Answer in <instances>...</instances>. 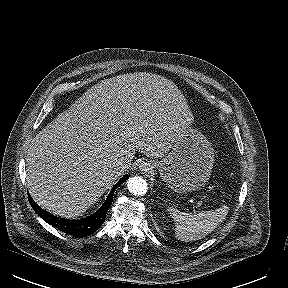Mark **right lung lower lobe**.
<instances>
[{
    "label": "right lung lower lobe",
    "mask_w": 288,
    "mask_h": 288,
    "mask_svg": "<svg viewBox=\"0 0 288 288\" xmlns=\"http://www.w3.org/2000/svg\"><path fill=\"white\" fill-rule=\"evenodd\" d=\"M128 175H125L120 181H118L112 188L107 200L103 206L90 217L81 219V220H68L64 218H58L53 214H50L40 208L34 200L28 195L29 202L33 207L34 211L45 220L47 223L51 224L54 227H57L59 230L63 231L66 234L74 235L76 237H84L93 232H95L105 221L106 213L110 208L113 200V195L115 190L122 184Z\"/></svg>",
    "instance_id": "obj_1"
}]
</instances>
